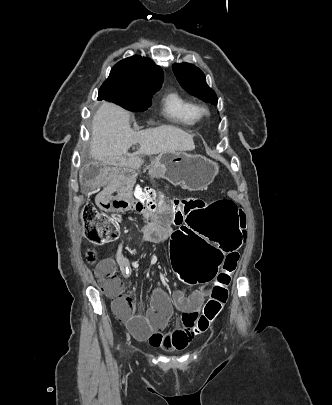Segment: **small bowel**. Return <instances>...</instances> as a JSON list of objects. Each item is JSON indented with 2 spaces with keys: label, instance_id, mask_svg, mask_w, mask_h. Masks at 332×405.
Wrapping results in <instances>:
<instances>
[{
  "label": "small bowel",
  "instance_id": "small-bowel-1",
  "mask_svg": "<svg viewBox=\"0 0 332 405\" xmlns=\"http://www.w3.org/2000/svg\"><path fill=\"white\" fill-rule=\"evenodd\" d=\"M87 167L83 172H79L76 179L77 186H105L95 199L98 211H104L105 215H128L129 211L142 215L146 221L143 230L145 241L163 242L171 237L175 224L181 225L182 222L174 221L175 210L173 208H163L161 213L157 214V218L155 210L154 212H140L142 204L137 197H132L134 192L130 189L133 186V180L137 179L136 171H130L129 168H113L112 162H89ZM147 171L150 173L151 181H156L159 176L157 166L149 164ZM110 177L116 179L111 181ZM158 200L161 204H166L168 197L161 195ZM123 250L124 245L120 243L116 261L111 258L103 259L95 267V275L102 287L104 274L114 271L117 265L124 275H128L130 267L123 256ZM211 291L210 282L207 287H200L190 295H187L185 289H181L172 296H168L163 288L159 287L153 292L151 306L145 315L121 317L116 314L125 321L135 339L164 350H181L195 337L192 334L193 331L196 330L199 334L203 332L198 329L196 324L199 312ZM174 307L183 312L181 325L173 331L164 333Z\"/></svg>",
  "mask_w": 332,
  "mask_h": 405
}]
</instances>
